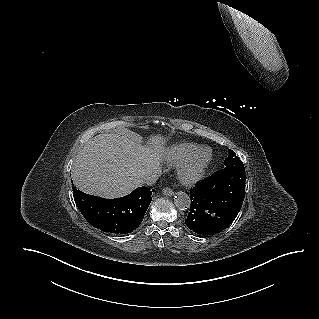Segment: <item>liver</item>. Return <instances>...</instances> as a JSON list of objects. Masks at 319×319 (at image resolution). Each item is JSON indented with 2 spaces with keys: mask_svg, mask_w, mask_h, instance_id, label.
I'll return each instance as SVG.
<instances>
[{
  "mask_svg": "<svg viewBox=\"0 0 319 319\" xmlns=\"http://www.w3.org/2000/svg\"><path fill=\"white\" fill-rule=\"evenodd\" d=\"M165 142L161 135L151 136L148 146L118 134L96 135L75 158L73 182L87 194L105 198L125 196L142 185L144 174L158 171Z\"/></svg>",
  "mask_w": 319,
  "mask_h": 319,
  "instance_id": "obj_1",
  "label": "liver"
}]
</instances>
